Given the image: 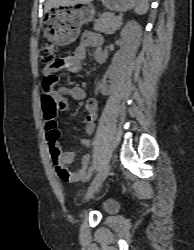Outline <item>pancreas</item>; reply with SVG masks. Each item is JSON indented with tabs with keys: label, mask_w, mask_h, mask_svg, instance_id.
Masks as SVG:
<instances>
[{
	"label": "pancreas",
	"mask_w": 194,
	"mask_h": 250,
	"mask_svg": "<svg viewBox=\"0 0 194 250\" xmlns=\"http://www.w3.org/2000/svg\"><path fill=\"white\" fill-rule=\"evenodd\" d=\"M121 27V21L113 13L105 12L94 21V30L100 33L113 34Z\"/></svg>",
	"instance_id": "1"
}]
</instances>
